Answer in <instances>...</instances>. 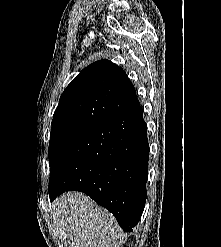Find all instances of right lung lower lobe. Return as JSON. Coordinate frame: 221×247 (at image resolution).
Here are the masks:
<instances>
[{
    "mask_svg": "<svg viewBox=\"0 0 221 247\" xmlns=\"http://www.w3.org/2000/svg\"><path fill=\"white\" fill-rule=\"evenodd\" d=\"M148 158L147 126L138 106L90 127L65 148L50 171V200L82 191L131 232L147 198Z\"/></svg>",
    "mask_w": 221,
    "mask_h": 247,
    "instance_id": "98d812e1",
    "label": "right lung lower lobe"
}]
</instances>
